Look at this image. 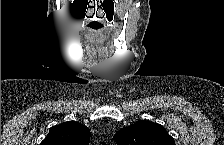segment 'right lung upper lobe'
Masks as SVG:
<instances>
[{"mask_svg":"<svg viewBox=\"0 0 224 145\" xmlns=\"http://www.w3.org/2000/svg\"><path fill=\"white\" fill-rule=\"evenodd\" d=\"M90 130L74 121L53 126L41 145H88Z\"/></svg>","mask_w":224,"mask_h":145,"instance_id":"obj_1","label":"right lung upper lobe"}]
</instances>
